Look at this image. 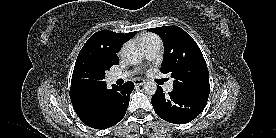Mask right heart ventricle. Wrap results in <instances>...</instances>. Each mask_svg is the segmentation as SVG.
Listing matches in <instances>:
<instances>
[{
    "mask_svg": "<svg viewBox=\"0 0 276 138\" xmlns=\"http://www.w3.org/2000/svg\"><path fill=\"white\" fill-rule=\"evenodd\" d=\"M139 42L140 44L145 47L146 45L153 43V42H160V39L153 35V34H143L140 38H139Z\"/></svg>",
    "mask_w": 276,
    "mask_h": 138,
    "instance_id": "obj_1",
    "label": "right heart ventricle"
}]
</instances>
